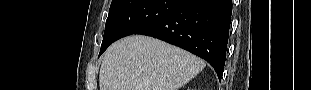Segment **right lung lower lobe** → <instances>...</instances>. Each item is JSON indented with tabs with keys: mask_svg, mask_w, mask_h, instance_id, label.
I'll list each match as a JSON object with an SVG mask.
<instances>
[{
	"mask_svg": "<svg viewBox=\"0 0 311 90\" xmlns=\"http://www.w3.org/2000/svg\"><path fill=\"white\" fill-rule=\"evenodd\" d=\"M231 0H183L136 34L179 46L208 61L222 78L231 23Z\"/></svg>",
	"mask_w": 311,
	"mask_h": 90,
	"instance_id": "right-lung-lower-lobe-1",
	"label": "right lung lower lobe"
}]
</instances>
